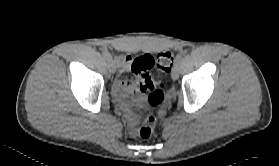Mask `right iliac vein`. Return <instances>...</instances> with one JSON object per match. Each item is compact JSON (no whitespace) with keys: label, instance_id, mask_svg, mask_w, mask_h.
I'll use <instances>...</instances> for the list:
<instances>
[{"label":"right iliac vein","instance_id":"right-iliac-vein-1","mask_svg":"<svg viewBox=\"0 0 279 166\" xmlns=\"http://www.w3.org/2000/svg\"><path fill=\"white\" fill-rule=\"evenodd\" d=\"M108 70L110 73H114L116 71V65L113 60H108Z\"/></svg>","mask_w":279,"mask_h":166}]
</instances>
